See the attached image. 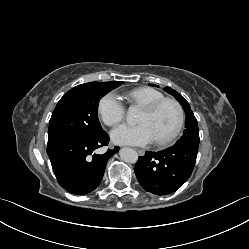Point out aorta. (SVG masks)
I'll use <instances>...</instances> for the list:
<instances>
[{
  "label": "aorta",
  "instance_id": "obj_1",
  "mask_svg": "<svg viewBox=\"0 0 249 249\" xmlns=\"http://www.w3.org/2000/svg\"><path fill=\"white\" fill-rule=\"evenodd\" d=\"M133 115H134V109L133 107H130L128 111V117L132 118ZM119 154H120L121 160H123L126 163H136L138 160V154L132 148H128V147L122 148Z\"/></svg>",
  "mask_w": 249,
  "mask_h": 249
}]
</instances>
